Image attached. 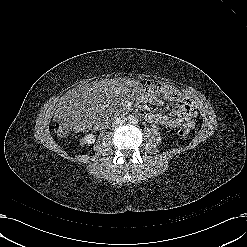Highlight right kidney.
Masks as SVG:
<instances>
[{
	"mask_svg": "<svg viewBox=\"0 0 247 247\" xmlns=\"http://www.w3.org/2000/svg\"><path fill=\"white\" fill-rule=\"evenodd\" d=\"M95 141V135L87 134L82 138V144H92Z\"/></svg>",
	"mask_w": 247,
	"mask_h": 247,
	"instance_id": "obj_1",
	"label": "right kidney"
}]
</instances>
